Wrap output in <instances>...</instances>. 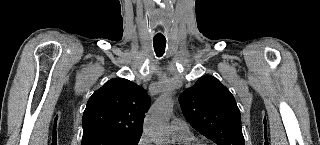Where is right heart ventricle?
<instances>
[{
  "label": "right heart ventricle",
  "mask_w": 320,
  "mask_h": 145,
  "mask_svg": "<svg viewBox=\"0 0 320 145\" xmlns=\"http://www.w3.org/2000/svg\"><path fill=\"white\" fill-rule=\"evenodd\" d=\"M173 137L179 145H188L194 142V136L192 134L187 136H173Z\"/></svg>",
  "instance_id": "e07e8e85"
}]
</instances>
